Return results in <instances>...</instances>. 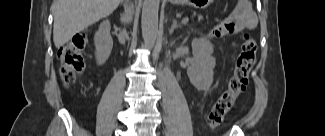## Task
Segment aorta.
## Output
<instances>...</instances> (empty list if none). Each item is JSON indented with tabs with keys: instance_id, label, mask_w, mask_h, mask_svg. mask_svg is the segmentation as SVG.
Wrapping results in <instances>:
<instances>
[{
	"instance_id": "762f6f07",
	"label": "aorta",
	"mask_w": 325,
	"mask_h": 136,
	"mask_svg": "<svg viewBox=\"0 0 325 136\" xmlns=\"http://www.w3.org/2000/svg\"><path fill=\"white\" fill-rule=\"evenodd\" d=\"M159 0H144L142 7L141 27L144 43L152 48L158 35Z\"/></svg>"
}]
</instances>
